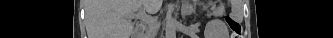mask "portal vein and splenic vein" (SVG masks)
<instances>
[{
  "instance_id": "obj_1",
  "label": "portal vein and splenic vein",
  "mask_w": 333,
  "mask_h": 38,
  "mask_svg": "<svg viewBox=\"0 0 333 38\" xmlns=\"http://www.w3.org/2000/svg\"><path fill=\"white\" fill-rule=\"evenodd\" d=\"M130 17L131 18L137 17L150 25L154 24V20H152L151 16L145 13L144 9H141L137 14H131Z\"/></svg>"
}]
</instances>
